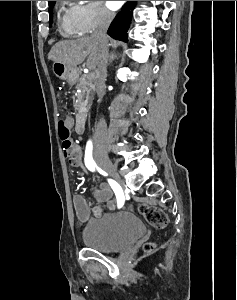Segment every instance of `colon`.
<instances>
[{"label": "colon", "mask_w": 237, "mask_h": 300, "mask_svg": "<svg viewBox=\"0 0 237 300\" xmlns=\"http://www.w3.org/2000/svg\"><path fill=\"white\" fill-rule=\"evenodd\" d=\"M58 132L64 151H69L77 145L64 120L60 121ZM137 209L151 226L155 228H164L166 226L167 218L162 209L147 204H139ZM152 249L153 244L147 243L144 245L145 252H151Z\"/></svg>", "instance_id": "obj_1"}]
</instances>
